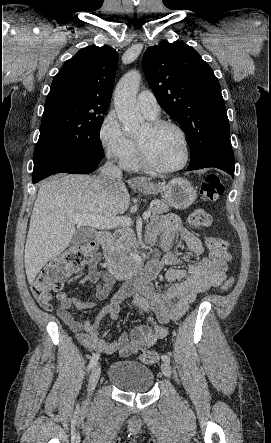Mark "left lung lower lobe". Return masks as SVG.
<instances>
[{
	"mask_svg": "<svg viewBox=\"0 0 271 443\" xmlns=\"http://www.w3.org/2000/svg\"><path fill=\"white\" fill-rule=\"evenodd\" d=\"M206 167L219 168L234 176V160H228L220 157H204L195 163L190 164L187 170H197Z\"/></svg>",
	"mask_w": 271,
	"mask_h": 443,
	"instance_id": "left-lung-lower-lobe-1",
	"label": "left lung lower lobe"
}]
</instances>
